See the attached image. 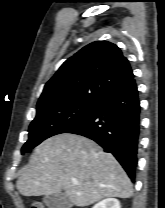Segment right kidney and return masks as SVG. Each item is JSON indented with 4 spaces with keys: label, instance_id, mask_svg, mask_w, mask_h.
<instances>
[{
    "label": "right kidney",
    "instance_id": "right-kidney-1",
    "mask_svg": "<svg viewBox=\"0 0 165 208\" xmlns=\"http://www.w3.org/2000/svg\"><path fill=\"white\" fill-rule=\"evenodd\" d=\"M93 208H121V206L117 199L107 198L97 203Z\"/></svg>",
    "mask_w": 165,
    "mask_h": 208
}]
</instances>
